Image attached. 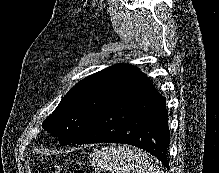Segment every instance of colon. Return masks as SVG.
<instances>
[{"label":"colon","mask_w":219,"mask_h":173,"mask_svg":"<svg viewBox=\"0 0 219 173\" xmlns=\"http://www.w3.org/2000/svg\"><path fill=\"white\" fill-rule=\"evenodd\" d=\"M63 171H64V168L61 166V165H53L52 167H51V172L52 173H63ZM77 173H87L86 171H84L83 169H79L78 171H77Z\"/></svg>","instance_id":"colon-1"}]
</instances>
